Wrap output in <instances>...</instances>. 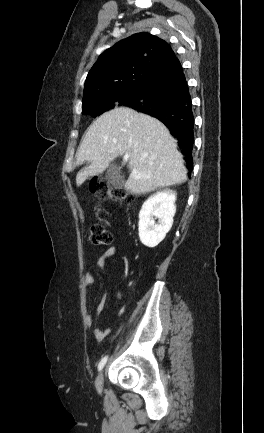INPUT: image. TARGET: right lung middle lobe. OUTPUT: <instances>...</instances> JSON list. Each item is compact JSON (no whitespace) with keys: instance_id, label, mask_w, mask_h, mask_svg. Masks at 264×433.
<instances>
[{"instance_id":"right-lung-middle-lobe-1","label":"right lung middle lobe","mask_w":264,"mask_h":433,"mask_svg":"<svg viewBox=\"0 0 264 433\" xmlns=\"http://www.w3.org/2000/svg\"><path fill=\"white\" fill-rule=\"evenodd\" d=\"M141 85L127 86L104 96L83 100L82 113L96 117L114 107L123 106L139 92Z\"/></svg>"}]
</instances>
